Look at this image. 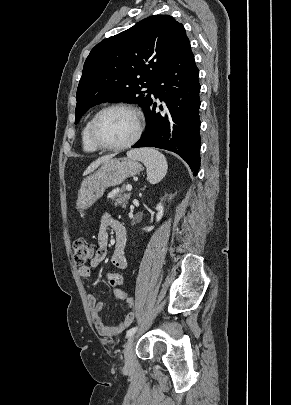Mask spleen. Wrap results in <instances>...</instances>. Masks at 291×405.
I'll return each instance as SVG.
<instances>
[{
    "instance_id": "3e777b00",
    "label": "spleen",
    "mask_w": 291,
    "mask_h": 405,
    "mask_svg": "<svg viewBox=\"0 0 291 405\" xmlns=\"http://www.w3.org/2000/svg\"><path fill=\"white\" fill-rule=\"evenodd\" d=\"M129 158L142 162L147 169V179L151 184L160 182L167 173L168 165L165 156L152 148L131 150Z\"/></svg>"
}]
</instances>
